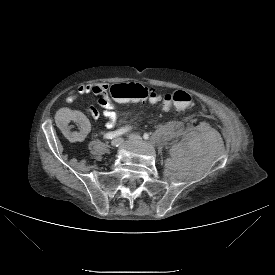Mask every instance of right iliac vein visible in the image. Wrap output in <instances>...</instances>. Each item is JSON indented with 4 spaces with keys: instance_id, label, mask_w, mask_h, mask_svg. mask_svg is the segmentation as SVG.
I'll return each mask as SVG.
<instances>
[{
    "instance_id": "63e3f726",
    "label": "right iliac vein",
    "mask_w": 275,
    "mask_h": 275,
    "mask_svg": "<svg viewBox=\"0 0 275 275\" xmlns=\"http://www.w3.org/2000/svg\"><path fill=\"white\" fill-rule=\"evenodd\" d=\"M122 142H123L122 138H120V137L115 138L111 141V146L112 147H119L122 144Z\"/></svg>"
}]
</instances>
